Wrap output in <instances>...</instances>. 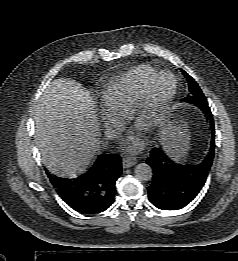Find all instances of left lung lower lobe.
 I'll return each mask as SVG.
<instances>
[{
  "mask_svg": "<svg viewBox=\"0 0 238 261\" xmlns=\"http://www.w3.org/2000/svg\"><path fill=\"white\" fill-rule=\"evenodd\" d=\"M210 119L212 140L208 153L198 163L172 160L158 148L150 152L146 163L152 168L149 201L161 210H178L188 205L200 192L211 168L215 149V129L208 105H198Z\"/></svg>",
  "mask_w": 238,
  "mask_h": 261,
  "instance_id": "0a47b994",
  "label": "left lung lower lobe"
}]
</instances>
